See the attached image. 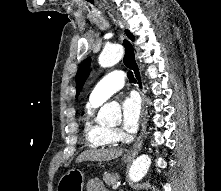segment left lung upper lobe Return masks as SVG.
I'll use <instances>...</instances> for the list:
<instances>
[{"mask_svg": "<svg viewBox=\"0 0 221 191\" xmlns=\"http://www.w3.org/2000/svg\"><path fill=\"white\" fill-rule=\"evenodd\" d=\"M125 33L127 34V36L133 40L134 37L133 35L130 33V31L126 30ZM90 63H91V58H86L82 64L79 67V70L77 71L76 74V86H77V94H79L80 90L83 87V84L85 82V80L87 79V77L89 76V67H90Z\"/></svg>", "mask_w": 221, "mask_h": 191, "instance_id": "obj_1", "label": "left lung upper lobe"}]
</instances>
